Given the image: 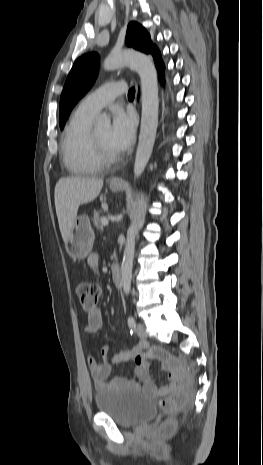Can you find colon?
<instances>
[{
    "label": "colon",
    "instance_id": "5ec220e1",
    "mask_svg": "<svg viewBox=\"0 0 263 465\" xmlns=\"http://www.w3.org/2000/svg\"><path fill=\"white\" fill-rule=\"evenodd\" d=\"M77 297L82 308L88 312L94 310L101 296L100 288L93 283L84 282L78 285ZM169 395L160 400V406L168 412L171 417L160 427V432L168 434L176 427L174 415L180 410L186 401L184 381L177 380L168 387Z\"/></svg>",
    "mask_w": 263,
    "mask_h": 465
}]
</instances>
